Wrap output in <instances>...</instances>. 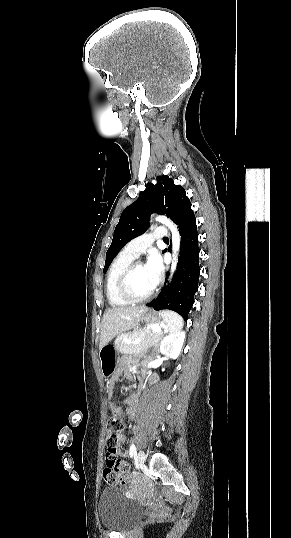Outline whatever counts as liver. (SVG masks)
Returning <instances> with one entry per match:
<instances>
[{"label": "liver", "mask_w": 291, "mask_h": 538, "mask_svg": "<svg viewBox=\"0 0 291 538\" xmlns=\"http://www.w3.org/2000/svg\"><path fill=\"white\" fill-rule=\"evenodd\" d=\"M147 311L146 306H122L107 309L103 315L99 348L105 346L118 334L135 328Z\"/></svg>", "instance_id": "1"}]
</instances>
